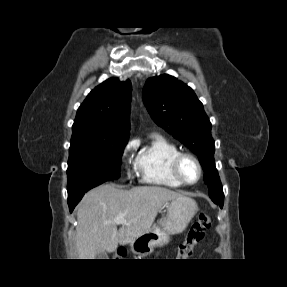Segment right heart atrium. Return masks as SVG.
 <instances>
[{
	"instance_id": "1",
	"label": "right heart atrium",
	"mask_w": 287,
	"mask_h": 287,
	"mask_svg": "<svg viewBox=\"0 0 287 287\" xmlns=\"http://www.w3.org/2000/svg\"><path fill=\"white\" fill-rule=\"evenodd\" d=\"M133 147H134V143H133V142H128V143L124 146V148H123V150H122V156H123V158H125V157L130 153V151L133 149Z\"/></svg>"
}]
</instances>
